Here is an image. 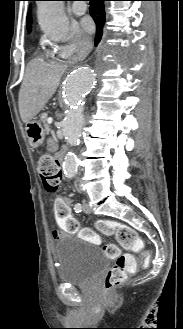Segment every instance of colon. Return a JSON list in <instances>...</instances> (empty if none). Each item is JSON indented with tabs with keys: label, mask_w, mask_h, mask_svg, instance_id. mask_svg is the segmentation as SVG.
Wrapping results in <instances>:
<instances>
[{
	"label": "colon",
	"mask_w": 183,
	"mask_h": 329,
	"mask_svg": "<svg viewBox=\"0 0 183 329\" xmlns=\"http://www.w3.org/2000/svg\"><path fill=\"white\" fill-rule=\"evenodd\" d=\"M37 170L48 192H54L59 188L62 170L55 157L50 154L41 155L37 162ZM97 227L103 235L115 236L122 247L140 251L143 260L148 261L149 255L144 251L143 242L131 227L110 220H99ZM105 252L109 257L116 258L114 266L107 272L104 279V288L110 290L121 285L128 276L132 275L136 271L137 264L131 253L119 254L118 248L113 244L105 246Z\"/></svg>",
	"instance_id": "obj_1"
}]
</instances>
